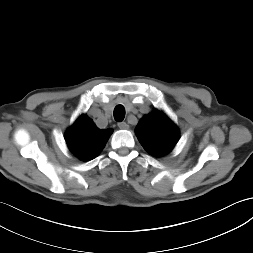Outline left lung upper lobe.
<instances>
[{"mask_svg":"<svg viewBox=\"0 0 253 253\" xmlns=\"http://www.w3.org/2000/svg\"><path fill=\"white\" fill-rule=\"evenodd\" d=\"M135 133L143 148L153 156L169 153L179 140L178 128L159 110L144 116Z\"/></svg>","mask_w":253,"mask_h":253,"instance_id":"left-lung-upper-lobe-1","label":"left lung upper lobe"}]
</instances>
